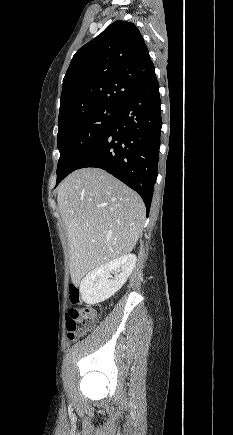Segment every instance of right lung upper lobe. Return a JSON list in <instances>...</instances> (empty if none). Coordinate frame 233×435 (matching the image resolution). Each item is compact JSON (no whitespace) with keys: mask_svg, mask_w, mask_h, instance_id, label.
Masks as SVG:
<instances>
[{"mask_svg":"<svg viewBox=\"0 0 233 435\" xmlns=\"http://www.w3.org/2000/svg\"><path fill=\"white\" fill-rule=\"evenodd\" d=\"M154 76L139 29L118 20L73 56L63 79L58 123L96 107H121Z\"/></svg>","mask_w":233,"mask_h":435,"instance_id":"1","label":"right lung upper lobe"}]
</instances>
